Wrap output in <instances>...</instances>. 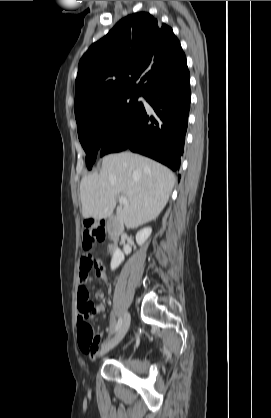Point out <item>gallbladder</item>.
<instances>
[{"label": "gallbladder", "mask_w": 271, "mask_h": 418, "mask_svg": "<svg viewBox=\"0 0 271 418\" xmlns=\"http://www.w3.org/2000/svg\"><path fill=\"white\" fill-rule=\"evenodd\" d=\"M108 226L110 232H119L120 231V225L117 222L116 216L113 214L108 219Z\"/></svg>", "instance_id": "1"}]
</instances>
